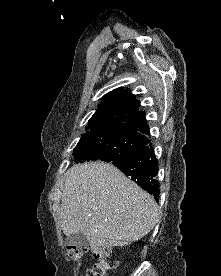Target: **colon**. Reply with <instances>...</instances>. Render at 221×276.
I'll use <instances>...</instances> for the list:
<instances>
[{
    "mask_svg": "<svg viewBox=\"0 0 221 276\" xmlns=\"http://www.w3.org/2000/svg\"><path fill=\"white\" fill-rule=\"evenodd\" d=\"M89 250L92 251L96 262L88 270L86 276H107L108 272L116 268L117 261L111 257L110 250L106 246L74 245L67 246V253L73 260L80 259Z\"/></svg>",
    "mask_w": 221,
    "mask_h": 276,
    "instance_id": "5ec220e1",
    "label": "colon"
}]
</instances>
